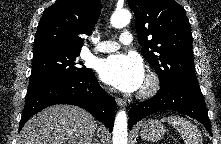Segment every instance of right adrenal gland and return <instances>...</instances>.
<instances>
[{
    "label": "right adrenal gland",
    "instance_id": "2a0ac1e0",
    "mask_svg": "<svg viewBox=\"0 0 221 144\" xmlns=\"http://www.w3.org/2000/svg\"><path fill=\"white\" fill-rule=\"evenodd\" d=\"M94 144H99V142L97 141V139H94Z\"/></svg>",
    "mask_w": 221,
    "mask_h": 144
}]
</instances>
